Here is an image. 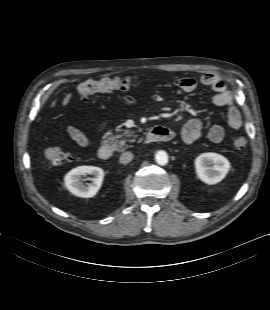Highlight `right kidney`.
Here are the masks:
<instances>
[{"mask_svg": "<svg viewBox=\"0 0 270 310\" xmlns=\"http://www.w3.org/2000/svg\"><path fill=\"white\" fill-rule=\"evenodd\" d=\"M87 174L93 175L92 183L88 186L82 182V177ZM104 172L99 167L79 166L69 171L64 177L65 187L74 195L83 198L94 197L103 181Z\"/></svg>", "mask_w": 270, "mask_h": 310, "instance_id": "right-kidney-1", "label": "right kidney"}]
</instances>
